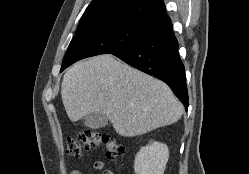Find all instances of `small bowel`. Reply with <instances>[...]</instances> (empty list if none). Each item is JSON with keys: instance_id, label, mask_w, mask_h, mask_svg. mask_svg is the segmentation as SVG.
Masks as SVG:
<instances>
[{"instance_id": "obj_1", "label": "small bowel", "mask_w": 249, "mask_h": 174, "mask_svg": "<svg viewBox=\"0 0 249 174\" xmlns=\"http://www.w3.org/2000/svg\"><path fill=\"white\" fill-rule=\"evenodd\" d=\"M90 170L101 171L104 169V162L101 160L94 161L90 166ZM71 174H84L81 169L72 170ZM101 174H114L111 170H103Z\"/></svg>"}]
</instances>
